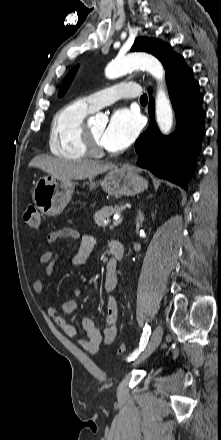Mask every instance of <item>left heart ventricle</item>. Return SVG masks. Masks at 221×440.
<instances>
[{"label": "left heart ventricle", "mask_w": 221, "mask_h": 440, "mask_svg": "<svg viewBox=\"0 0 221 440\" xmlns=\"http://www.w3.org/2000/svg\"><path fill=\"white\" fill-rule=\"evenodd\" d=\"M88 127H89L91 134L93 135L95 140L98 142V144L103 146L101 143V137H102V134L106 128L105 124L94 123V124H90Z\"/></svg>", "instance_id": "obj_1"}]
</instances>
